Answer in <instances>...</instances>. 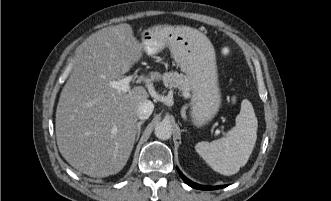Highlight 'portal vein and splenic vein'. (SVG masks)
<instances>
[{
	"label": "portal vein and splenic vein",
	"instance_id": "obj_1",
	"mask_svg": "<svg viewBox=\"0 0 331 201\" xmlns=\"http://www.w3.org/2000/svg\"><path fill=\"white\" fill-rule=\"evenodd\" d=\"M134 79L133 75L126 76L119 80H113L110 82V86L119 92H128L130 90V82Z\"/></svg>",
	"mask_w": 331,
	"mask_h": 201
}]
</instances>
